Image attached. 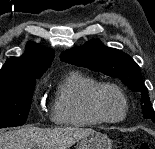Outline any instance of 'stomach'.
<instances>
[{
  "label": "stomach",
  "mask_w": 155,
  "mask_h": 149,
  "mask_svg": "<svg viewBox=\"0 0 155 149\" xmlns=\"http://www.w3.org/2000/svg\"><path fill=\"white\" fill-rule=\"evenodd\" d=\"M78 149H112V141L107 135L94 132L81 139Z\"/></svg>",
  "instance_id": "1"
}]
</instances>
